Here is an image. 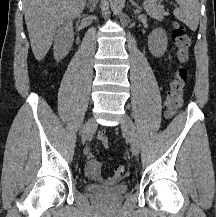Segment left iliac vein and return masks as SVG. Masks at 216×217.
Here are the masks:
<instances>
[{
    "label": "left iliac vein",
    "mask_w": 216,
    "mask_h": 217,
    "mask_svg": "<svg viewBox=\"0 0 216 217\" xmlns=\"http://www.w3.org/2000/svg\"><path fill=\"white\" fill-rule=\"evenodd\" d=\"M121 128L129 138L132 154L138 155L140 148L139 136L132 119L128 115H124L122 118Z\"/></svg>",
    "instance_id": "obj_1"
}]
</instances>
